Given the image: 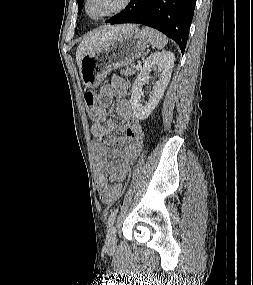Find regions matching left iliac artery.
<instances>
[{
    "instance_id": "1",
    "label": "left iliac artery",
    "mask_w": 253,
    "mask_h": 285,
    "mask_svg": "<svg viewBox=\"0 0 253 285\" xmlns=\"http://www.w3.org/2000/svg\"><path fill=\"white\" fill-rule=\"evenodd\" d=\"M117 212H118V209H114L112 210V212L110 213V216L108 218V227H111L115 221V218L117 216Z\"/></svg>"
}]
</instances>
